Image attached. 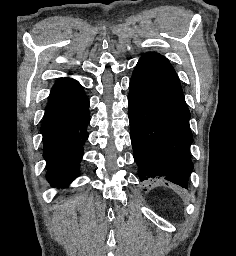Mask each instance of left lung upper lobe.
I'll return each mask as SVG.
<instances>
[{
  "label": "left lung upper lobe",
  "instance_id": "obj_1",
  "mask_svg": "<svg viewBox=\"0 0 236 256\" xmlns=\"http://www.w3.org/2000/svg\"><path fill=\"white\" fill-rule=\"evenodd\" d=\"M136 69H141L145 72H148L160 80L165 81L166 83L178 89H181L180 81L175 70L168 62V60L158 53L150 52L144 54L140 58Z\"/></svg>",
  "mask_w": 236,
  "mask_h": 256
}]
</instances>
